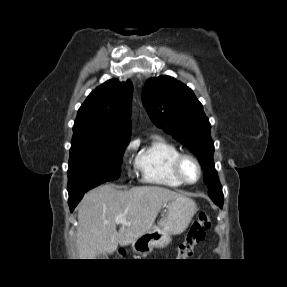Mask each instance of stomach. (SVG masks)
Returning <instances> with one entry per match:
<instances>
[{
  "label": "stomach",
  "instance_id": "1",
  "mask_svg": "<svg viewBox=\"0 0 287 287\" xmlns=\"http://www.w3.org/2000/svg\"><path fill=\"white\" fill-rule=\"evenodd\" d=\"M196 203L185 196L170 201L167 213L157 226H153L131 243L138 254H149L153 248H163L171 242V236L183 233L197 212Z\"/></svg>",
  "mask_w": 287,
  "mask_h": 287
}]
</instances>
